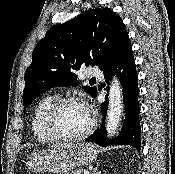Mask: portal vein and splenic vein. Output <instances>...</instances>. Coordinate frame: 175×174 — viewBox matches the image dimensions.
I'll list each match as a JSON object with an SVG mask.
<instances>
[{
	"label": "portal vein and splenic vein",
	"instance_id": "1",
	"mask_svg": "<svg viewBox=\"0 0 175 174\" xmlns=\"http://www.w3.org/2000/svg\"><path fill=\"white\" fill-rule=\"evenodd\" d=\"M84 174H90V172L87 170V171H84Z\"/></svg>",
	"mask_w": 175,
	"mask_h": 174
}]
</instances>
